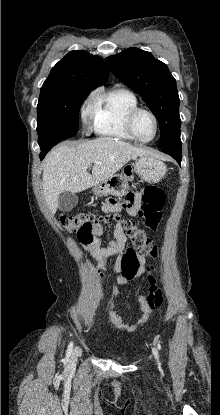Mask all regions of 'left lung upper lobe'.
<instances>
[{
    "mask_svg": "<svg viewBox=\"0 0 220 415\" xmlns=\"http://www.w3.org/2000/svg\"><path fill=\"white\" fill-rule=\"evenodd\" d=\"M112 73L146 101L160 126L161 148H181L179 96L168 67L150 52L128 48L106 58Z\"/></svg>",
    "mask_w": 220,
    "mask_h": 415,
    "instance_id": "left-lung-upper-lobe-1",
    "label": "left lung upper lobe"
}]
</instances>
